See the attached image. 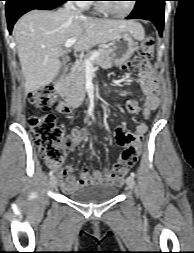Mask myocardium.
Here are the masks:
<instances>
[{
	"instance_id": "f54148a6",
	"label": "myocardium",
	"mask_w": 194,
	"mask_h": 253,
	"mask_svg": "<svg viewBox=\"0 0 194 253\" xmlns=\"http://www.w3.org/2000/svg\"><path fill=\"white\" fill-rule=\"evenodd\" d=\"M98 6L102 11H104L105 13H107L111 16H114L117 18H125L133 12V10L135 9V6H136V2H135V0H131L129 8L124 12H116V11L112 10L110 7H108L105 3H99Z\"/></svg>"
}]
</instances>
